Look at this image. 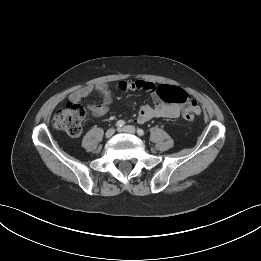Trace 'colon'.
<instances>
[{
	"label": "colon",
	"instance_id": "colon-1",
	"mask_svg": "<svg viewBox=\"0 0 261 261\" xmlns=\"http://www.w3.org/2000/svg\"><path fill=\"white\" fill-rule=\"evenodd\" d=\"M161 100L167 103L181 104L189 107L191 99L187 92L180 87L163 85L157 90ZM87 116L86 109L78 103H68L66 107L56 111L53 117V127L57 130L64 131L68 135L76 137L80 135L82 123ZM183 118L191 121L194 118V112L187 109Z\"/></svg>",
	"mask_w": 261,
	"mask_h": 261
}]
</instances>
